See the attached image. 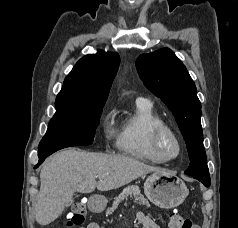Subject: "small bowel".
Returning <instances> with one entry per match:
<instances>
[{"label":"small bowel","mask_w":238,"mask_h":228,"mask_svg":"<svg viewBox=\"0 0 238 228\" xmlns=\"http://www.w3.org/2000/svg\"><path fill=\"white\" fill-rule=\"evenodd\" d=\"M137 219L143 228H160L150 216L142 212L137 214ZM86 228H101V226L97 222H90Z\"/></svg>","instance_id":"obj_1"}]
</instances>
